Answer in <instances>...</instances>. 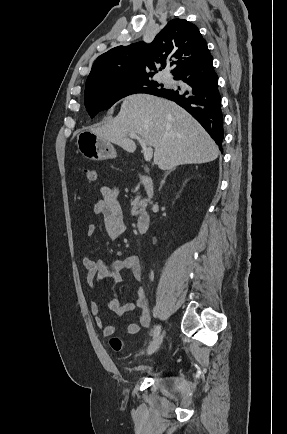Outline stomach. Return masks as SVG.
I'll return each instance as SVG.
<instances>
[{
  "label": "stomach",
  "mask_w": 287,
  "mask_h": 434,
  "mask_svg": "<svg viewBox=\"0 0 287 434\" xmlns=\"http://www.w3.org/2000/svg\"><path fill=\"white\" fill-rule=\"evenodd\" d=\"M78 151L87 159L100 161L113 159L117 153L112 144L91 130H82L77 135Z\"/></svg>",
  "instance_id": "1"
}]
</instances>
